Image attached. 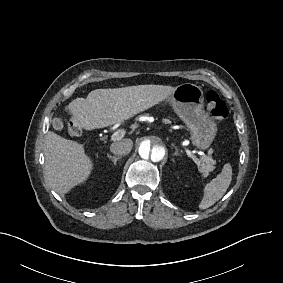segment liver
<instances>
[{
    "instance_id": "liver-1",
    "label": "liver",
    "mask_w": 283,
    "mask_h": 283,
    "mask_svg": "<svg viewBox=\"0 0 283 283\" xmlns=\"http://www.w3.org/2000/svg\"><path fill=\"white\" fill-rule=\"evenodd\" d=\"M175 90L176 87L163 85L96 89L86 99H74L63 111L72 116L75 127L92 131L123 124L166 101ZM44 158L47 180L63 196L86 183L94 170L93 158L87 154L82 143L66 139L53 131L47 133Z\"/></svg>"
}]
</instances>
